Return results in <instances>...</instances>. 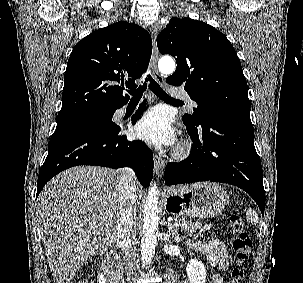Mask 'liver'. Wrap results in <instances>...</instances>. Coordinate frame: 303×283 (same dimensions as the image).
I'll use <instances>...</instances> for the list:
<instances>
[{"label": "liver", "instance_id": "1", "mask_svg": "<svg viewBox=\"0 0 303 283\" xmlns=\"http://www.w3.org/2000/svg\"><path fill=\"white\" fill-rule=\"evenodd\" d=\"M122 170L77 166L50 180L38 197L40 231L55 283H69L88 258L116 242ZM137 202L143 194L135 179Z\"/></svg>", "mask_w": 303, "mask_h": 283}]
</instances>
